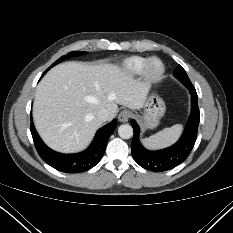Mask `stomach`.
<instances>
[{
    "label": "stomach",
    "instance_id": "1",
    "mask_svg": "<svg viewBox=\"0 0 233 233\" xmlns=\"http://www.w3.org/2000/svg\"><path fill=\"white\" fill-rule=\"evenodd\" d=\"M143 107V116L140 118L142 126L149 129L157 127L165 113L164 101L158 95L151 93L146 97Z\"/></svg>",
    "mask_w": 233,
    "mask_h": 233
}]
</instances>
